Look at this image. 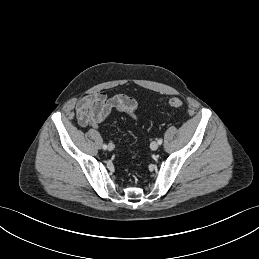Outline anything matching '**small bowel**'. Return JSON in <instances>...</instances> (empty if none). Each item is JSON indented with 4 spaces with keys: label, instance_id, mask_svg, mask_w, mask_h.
Masks as SVG:
<instances>
[{
    "label": "small bowel",
    "instance_id": "c3829d8e",
    "mask_svg": "<svg viewBox=\"0 0 259 259\" xmlns=\"http://www.w3.org/2000/svg\"><path fill=\"white\" fill-rule=\"evenodd\" d=\"M136 109V101L122 93L108 97L105 93L99 92L85 96L76 105L78 123L82 127H100L103 121L114 111L137 119Z\"/></svg>",
    "mask_w": 259,
    "mask_h": 259
}]
</instances>
